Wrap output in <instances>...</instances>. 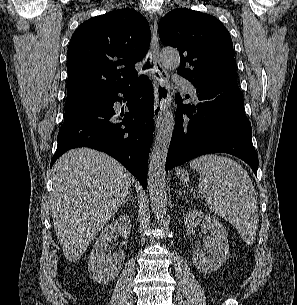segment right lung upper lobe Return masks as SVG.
<instances>
[{
  "label": "right lung upper lobe",
  "mask_w": 297,
  "mask_h": 305,
  "mask_svg": "<svg viewBox=\"0 0 297 305\" xmlns=\"http://www.w3.org/2000/svg\"><path fill=\"white\" fill-rule=\"evenodd\" d=\"M148 21L126 8L83 22L71 37L66 103L107 95L137 78L135 64L149 48Z\"/></svg>",
  "instance_id": "1"
}]
</instances>
